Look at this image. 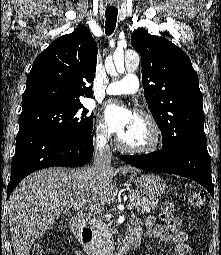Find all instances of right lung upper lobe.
I'll return each mask as SVG.
<instances>
[{"instance_id":"obj_1","label":"right lung upper lobe","mask_w":221,"mask_h":255,"mask_svg":"<svg viewBox=\"0 0 221 255\" xmlns=\"http://www.w3.org/2000/svg\"><path fill=\"white\" fill-rule=\"evenodd\" d=\"M97 45L90 31L79 26L40 53L27 77L22 110L45 104H73L93 97Z\"/></svg>"}]
</instances>
